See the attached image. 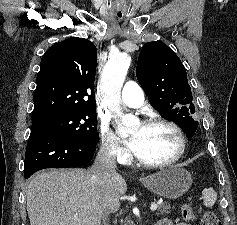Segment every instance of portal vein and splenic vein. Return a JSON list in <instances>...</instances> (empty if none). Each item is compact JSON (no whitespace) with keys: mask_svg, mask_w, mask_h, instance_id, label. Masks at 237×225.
<instances>
[{"mask_svg":"<svg viewBox=\"0 0 237 225\" xmlns=\"http://www.w3.org/2000/svg\"><path fill=\"white\" fill-rule=\"evenodd\" d=\"M157 207H158V205L156 203H152L150 209H151V211H155L157 209Z\"/></svg>","mask_w":237,"mask_h":225,"instance_id":"obj_1","label":"portal vein and splenic vein"}]
</instances>
